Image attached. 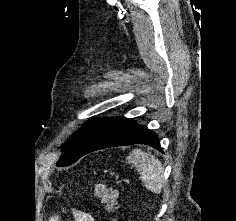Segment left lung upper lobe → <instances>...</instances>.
Returning a JSON list of instances; mask_svg holds the SVG:
<instances>
[{"label":"left lung upper lobe","mask_w":236,"mask_h":221,"mask_svg":"<svg viewBox=\"0 0 236 221\" xmlns=\"http://www.w3.org/2000/svg\"><path fill=\"white\" fill-rule=\"evenodd\" d=\"M106 118H97L83 124L70 141L63 147L64 155L58 160V166H69L75 161L81 150L90 142Z\"/></svg>","instance_id":"left-lung-upper-lobe-1"}]
</instances>
